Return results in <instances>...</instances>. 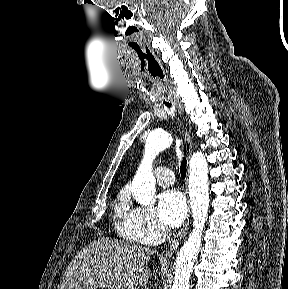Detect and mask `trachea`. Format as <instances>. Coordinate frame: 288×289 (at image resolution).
Instances as JSON below:
<instances>
[{"instance_id": "trachea-1", "label": "trachea", "mask_w": 288, "mask_h": 289, "mask_svg": "<svg viewBox=\"0 0 288 289\" xmlns=\"http://www.w3.org/2000/svg\"><path fill=\"white\" fill-rule=\"evenodd\" d=\"M137 56L139 58V61L141 63L142 69H144L152 78L153 84H154V96L157 100H164L166 97V91L163 87V83L165 80V74L153 55V53L149 49H142L137 52ZM165 106L168 108H171L170 103H165ZM187 161L183 157L180 165V173L183 178L186 177V171H187Z\"/></svg>"}]
</instances>
